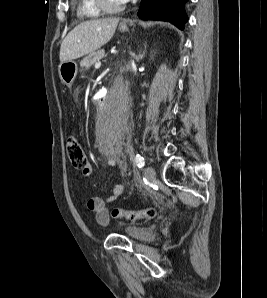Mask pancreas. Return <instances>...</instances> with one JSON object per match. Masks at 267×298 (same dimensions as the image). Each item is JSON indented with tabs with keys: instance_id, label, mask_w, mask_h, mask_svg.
Returning <instances> with one entry per match:
<instances>
[{
	"instance_id": "1",
	"label": "pancreas",
	"mask_w": 267,
	"mask_h": 298,
	"mask_svg": "<svg viewBox=\"0 0 267 298\" xmlns=\"http://www.w3.org/2000/svg\"><path fill=\"white\" fill-rule=\"evenodd\" d=\"M105 55V51L103 49L96 50L91 53H89L88 56H86L81 62L80 67L81 68H89L96 62H98L100 59H102Z\"/></svg>"
}]
</instances>
